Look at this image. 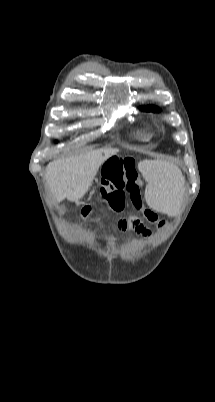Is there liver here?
Segmentation results:
<instances>
[{
  "instance_id": "obj_1",
  "label": "liver",
  "mask_w": 215,
  "mask_h": 402,
  "mask_svg": "<svg viewBox=\"0 0 215 402\" xmlns=\"http://www.w3.org/2000/svg\"><path fill=\"white\" fill-rule=\"evenodd\" d=\"M118 149H100L61 158L47 165L45 179L56 202H77L88 192L99 167Z\"/></svg>"
}]
</instances>
